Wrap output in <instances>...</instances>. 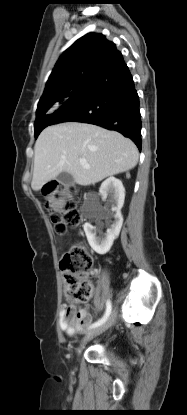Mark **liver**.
I'll list each match as a JSON object with an SVG mask.
<instances>
[{
  "instance_id": "obj_1",
  "label": "liver",
  "mask_w": 187,
  "mask_h": 415,
  "mask_svg": "<svg viewBox=\"0 0 187 415\" xmlns=\"http://www.w3.org/2000/svg\"><path fill=\"white\" fill-rule=\"evenodd\" d=\"M34 153V191L61 172L71 174L79 185L95 184L134 168L139 157L136 145L120 133L78 122L45 128L35 143ZM80 159H85L90 168L83 167Z\"/></svg>"
}]
</instances>
